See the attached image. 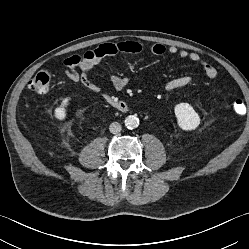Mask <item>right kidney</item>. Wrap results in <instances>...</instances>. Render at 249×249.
<instances>
[{
	"instance_id": "ca27d5eb",
	"label": "right kidney",
	"mask_w": 249,
	"mask_h": 249,
	"mask_svg": "<svg viewBox=\"0 0 249 249\" xmlns=\"http://www.w3.org/2000/svg\"><path fill=\"white\" fill-rule=\"evenodd\" d=\"M70 97H66L62 100L61 104L55 108L54 110V117L58 120H64L66 118V109L70 104Z\"/></svg>"
}]
</instances>
